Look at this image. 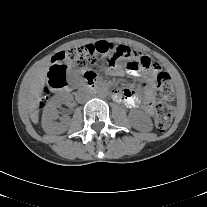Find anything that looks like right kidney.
<instances>
[{"label":"right kidney","mask_w":207,"mask_h":207,"mask_svg":"<svg viewBox=\"0 0 207 207\" xmlns=\"http://www.w3.org/2000/svg\"><path fill=\"white\" fill-rule=\"evenodd\" d=\"M68 98L67 95H56L48 102L42 115V128L45 132H62L67 129L69 124L68 117L61 119L60 123H56L55 120L59 117L57 108Z\"/></svg>","instance_id":"right-kidney-1"}]
</instances>
